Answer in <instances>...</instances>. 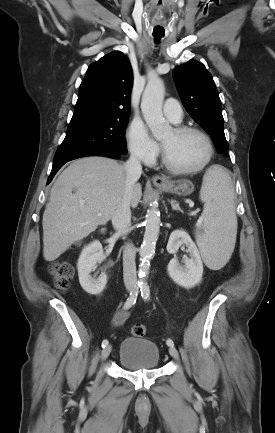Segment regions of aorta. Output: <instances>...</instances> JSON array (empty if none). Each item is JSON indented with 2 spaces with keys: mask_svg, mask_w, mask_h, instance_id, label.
I'll list each match as a JSON object with an SVG mask.
<instances>
[{
  "mask_svg": "<svg viewBox=\"0 0 275 433\" xmlns=\"http://www.w3.org/2000/svg\"><path fill=\"white\" fill-rule=\"evenodd\" d=\"M164 84L159 78H151L143 92L141 111L144 120L156 139L161 138L169 129L170 125L163 117L162 104L164 99ZM160 213L157 207L152 206L147 210L145 217V233L140 248V284L145 286V277L149 273V261L155 254L156 242L160 231Z\"/></svg>",
  "mask_w": 275,
  "mask_h": 433,
  "instance_id": "obj_1",
  "label": "aorta"
}]
</instances>
